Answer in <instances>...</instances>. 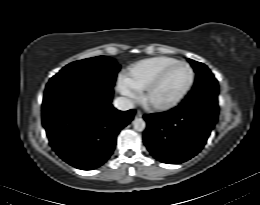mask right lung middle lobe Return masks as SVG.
<instances>
[{
    "instance_id": "obj_1",
    "label": "right lung middle lobe",
    "mask_w": 260,
    "mask_h": 205,
    "mask_svg": "<svg viewBox=\"0 0 260 205\" xmlns=\"http://www.w3.org/2000/svg\"><path fill=\"white\" fill-rule=\"evenodd\" d=\"M119 70L120 65L115 63L112 59L98 56L72 62L52 78L58 79L66 76L96 78L109 84H114Z\"/></svg>"
}]
</instances>
